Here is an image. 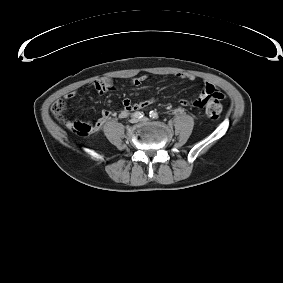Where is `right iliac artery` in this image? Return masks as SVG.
<instances>
[{"label": "right iliac artery", "instance_id": "obj_1", "mask_svg": "<svg viewBox=\"0 0 283 283\" xmlns=\"http://www.w3.org/2000/svg\"><path fill=\"white\" fill-rule=\"evenodd\" d=\"M133 116H134L135 118L140 119V118L143 117V113H142V112H135V113L133 114Z\"/></svg>", "mask_w": 283, "mask_h": 283}]
</instances>
